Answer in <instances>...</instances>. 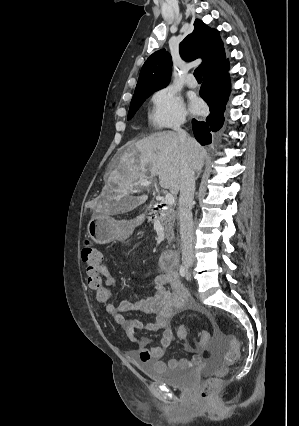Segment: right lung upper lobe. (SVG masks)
<instances>
[{
  "mask_svg": "<svg viewBox=\"0 0 299 426\" xmlns=\"http://www.w3.org/2000/svg\"><path fill=\"white\" fill-rule=\"evenodd\" d=\"M184 60L202 58L203 73L225 61V52L219 33L196 19L194 30L179 45ZM172 59L165 49L154 52L146 60L140 71L135 94L154 92L167 86L171 77Z\"/></svg>",
  "mask_w": 299,
  "mask_h": 426,
  "instance_id": "cb5924a9",
  "label": "right lung upper lobe"
}]
</instances>
